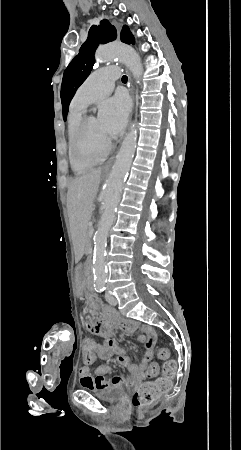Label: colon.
Wrapping results in <instances>:
<instances>
[{
  "label": "colon",
  "mask_w": 241,
  "mask_h": 450,
  "mask_svg": "<svg viewBox=\"0 0 241 450\" xmlns=\"http://www.w3.org/2000/svg\"><path fill=\"white\" fill-rule=\"evenodd\" d=\"M80 350L84 352L85 364L94 366L96 364L95 353L98 350L97 347L92 343H85L80 347ZM168 357L169 350L166 347L160 348L159 358L167 359ZM162 370L165 376L158 378L154 382L144 383L136 390L132 400V405L135 409L145 410L152 407L169 390V377L176 370V365L168 360L162 365ZM158 372L157 364H150L145 369V375L149 378L155 377Z\"/></svg>",
  "instance_id": "obj_1"
}]
</instances>
